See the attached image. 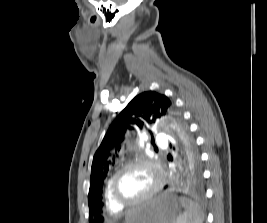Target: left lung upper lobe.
<instances>
[{"instance_id":"left-lung-upper-lobe-1","label":"left lung upper lobe","mask_w":267,"mask_h":223,"mask_svg":"<svg viewBox=\"0 0 267 223\" xmlns=\"http://www.w3.org/2000/svg\"><path fill=\"white\" fill-rule=\"evenodd\" d=\"M158 119L163 120L175 131L184 151L187 171H202L195 141L181 115L175 110L174 103L165 95L157 92H143L134 97L116 117L94 154L90 176L91 186L87 199L89 214H95L97 217L100 214H106L107 207L101 206L103 181L109 164L115 159V154L120 151L121 143L125 140L127 132L147 128Z\"/></svg>"}]
</instances>
